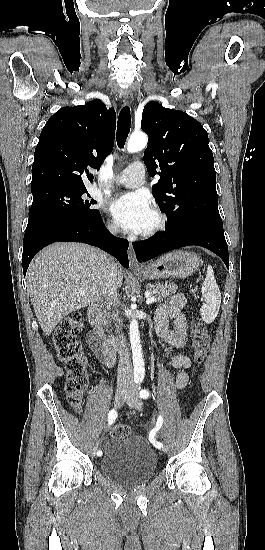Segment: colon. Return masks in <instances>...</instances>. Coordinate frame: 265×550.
<instances>
[{
  "mask_svg": "<svg viewBox=\"0 0 265 550\" xmlns=\"http://www.w3.org/2000/svg\"><path fill=\"white\" fill-rule=\"evenodd\" d=\"M193 336V361L199 365L206 357L211 335L205 323L196 318L191 323ZM81 331V316L72 312L63 318L55 328L52 336L57 359L64 364L67 373L66 393L72 408L79 412L82 408V397L88 387L89 379L86 370L87 360L82 353L77 337ZM113 438L130 435V428L116 425L110 432Z\"/></svg>",
  "mask_w": 265,
  "mask_h": 550,
  "instance_id": "5ec220e1",
  "label": "colon"
}]
</instances>
